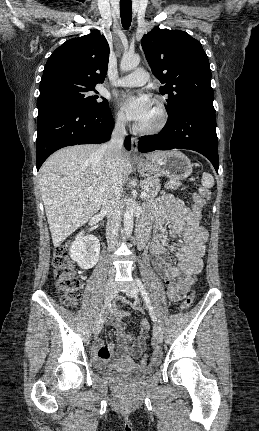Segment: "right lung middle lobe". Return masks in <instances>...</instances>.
Wrapping results in <instances>:
<instances>
[{"label": "right lung middle lobe", "mask_w": 259, "mask_h": 431, "mask_svg": "<svg viewBox=\"0 0 259 431\" xmlns=\"http://www.w3.org/2000/svg\"><path fill=\"white\" fill-rule=\"evenodd\" d=\"M94 87H81L66 81H52L42 87L37 100L38 111L55 104H74L89 109L108 108V102L98 95H91Z\"/></svg>", "instance_id": "1"}]
</instances>
